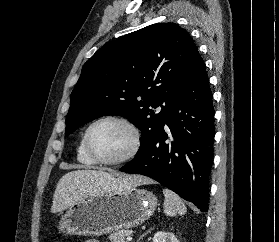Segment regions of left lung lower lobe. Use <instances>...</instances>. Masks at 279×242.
<instances>
[{
	"instance_id": "0a47b994",
	"label": "left lung lower lobe",
	"mask_w": 279,
	"mask_h": 242,
	"mask_svg": "<svg viewBox=\"0 0 279 242\" xmlns=\"http://www.w3.org/2000/svg\"><path fill=\"white\" fill-rule=\"evenodd\" d=\"M165 124L150 149L120 171L151 177L207 212L215 128L212 92L200 54Z\"/></svg>"
}]
</instances>
